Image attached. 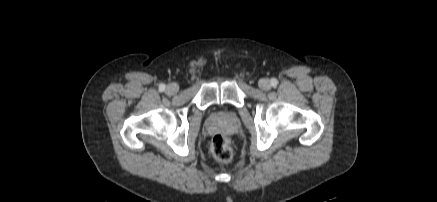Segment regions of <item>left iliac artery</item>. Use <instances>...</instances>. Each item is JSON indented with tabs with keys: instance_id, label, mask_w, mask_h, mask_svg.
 I'll return each mask as SVG.
<instances>
[{
	"instance_id": "left-iliac-artery-1",
	"label": "left iliac artery",
	"mask_w": 437,
	"mask_h": 202,
	"mask_svg": "<svg viewBox=\"0 0 437 202\" xmlns=\"http://www.w3.org/2000/svg\"><path fill=\"white\" fill-rule=\"evenodd\" d=\"M271 84H272L273 86H276V85H277V80H276V79H272V80H271Z\"/></svg>"
}]
</instances>
